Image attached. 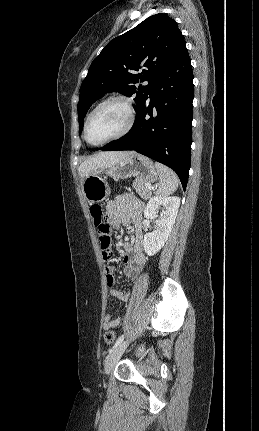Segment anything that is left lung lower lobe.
<instances>
[{
    "label": "left lung lower lobe",
    "instance_id": "obj_1",
    "mask_svg": "<svg viewBox=\"0 0 259 431\" xmlns=\"http://www.w3.org/2000/svg\"><path fill=\"white\" fill-rule=\"evenodd\" d=\"M193 98L191 60L182 41L157 74L136 111L131 130L101 150H135L165 164L177 173L185 190L191 159Z\"/></svg>",
    "mask_w": 259,
    "mask_h": 431
}]
</instances>
